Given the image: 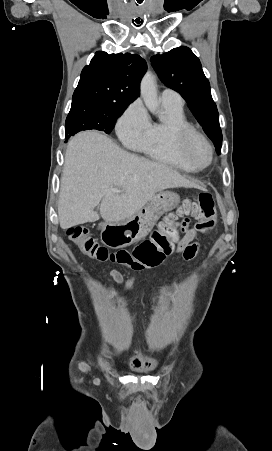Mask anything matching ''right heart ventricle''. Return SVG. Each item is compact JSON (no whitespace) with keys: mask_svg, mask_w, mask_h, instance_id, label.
<instances>
[{"mask_svg":"<svg viewBox=\"0 0 272 451\" xmlns=\"http://www.w3.org/2000/svg\"><path fill=\"white\" fill-rule=\"evenodd\" d=\"M167 119L159 123L150 124L146 137L134 145L138 150L159 162H163L185 171L180 163L176 143L170 138V129L174 125L189 126L182 109L174 108L162 103Z\"/></svg>","mask_w":272,"mask_h":451,"instance_id":"1","label":"right heart ventricle"}]
</instances>
